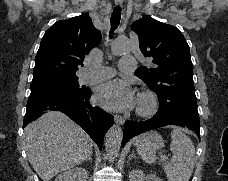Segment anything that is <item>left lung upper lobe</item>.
Instances as JSON below:
<instances>
[{
    "instance_id": "1",
    "label": "left lung upper lobe",
    "mask_w": 228,
    "mask_h": 181,
    "mask_svg": "<svg viewBox=\"0 0 228 181\" xmlns=\"http://www.w3.org/2000/svg\"><path fill=\"white\" fill-rule=\"evenodd\" d=\"M139 47L152 58L150 67H139L135 75L154 90L159 99V112L164 116L190 114L199 118L193 82L190 49L183 34L145 15L132 24Z\"/></svg>"
}]
</instances>
